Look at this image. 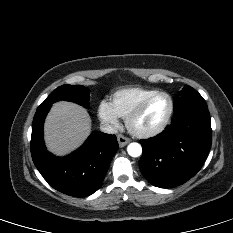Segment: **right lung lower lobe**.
Here are the masks:
<instances>
[{
    "label": "right lung lower lobe",
    "instance_id": "right-lung-lower-lobe-1",
    "mask_svg": "<svg viewBox=\"0 0 233 233\" xmlns=\"http://www.w3.org/2000/svg\"><path fill=\"white\" fill-rule=\"evenodd\" d=\"M51 105L39 106L32 123L33 162L54 189L75 197L93 194L101 186L112 157L118 149L115 135L92 133L85 143L66 157L49 153L43 140V123Z\"/></svg>",
    "mask_w": 233,
    "mask_h": 233
}]
</instances>
